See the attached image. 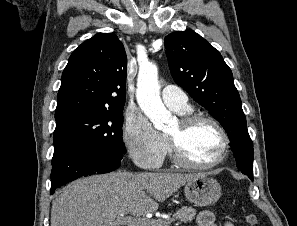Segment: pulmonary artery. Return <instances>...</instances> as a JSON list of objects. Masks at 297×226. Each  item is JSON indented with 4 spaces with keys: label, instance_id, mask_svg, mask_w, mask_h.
<instances>
[{
    "label": "pulmonary artery",
    "instance_id": "e3ab8cb5",
    "mask_svg": "<svg viewBox=\"0 0 297 226\" xmlns=\"http://www.w3.org/2000/svg\"><path fill=\"white\" fill-rule=\"evenodd\" d=\"M161 97L164 104L173 110L182 111L190 108L187 94L177 86L167 85L163 87Z\"/></svg>",
    "mask_w": 297,
    "mask_h": 226
}]
</instances>
